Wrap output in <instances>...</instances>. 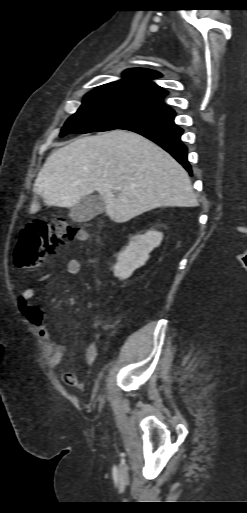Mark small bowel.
Listing matches in <instances>:
<instances>
[{
	"instance_id": "c3829d8e",
	"label": "small bowel",
	"mask_w": 247,
	"mask_h": 513,
	"mask_svg": "<svg viewBox=\"0 0 247 513\" xmlns=\"http://www.w3.org/2000/svg\"><path fill=\"white\" fill-rule=\"evenodd\" d=\"M81 263L77 258H69L65 265V271L69 275H77L80 272ZM50 274L43 275L40 281L46 280ZM36 294V290L33 287H28L21 291L18 296V305L20 311L25 316V318L34 325L38 331V334L42 341L45 343L47 352H46V363L48 366L54 368L57 367L65 356V348L63 345L55 342L49 329L46 325V317L45 313L36 308L31 300ZM85 362L89 365L94 364L98 358V350L95 345H89L85 352ZM63 380L67 385L79 387L81 382L78 378L71 372H65L63 374Z\"/></svg>"
}]
</instances>
